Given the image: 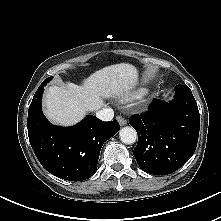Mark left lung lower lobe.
<instances>
[{
    "label": "left lung lower lobe",
    "mask_w": 221,
    "mask_h": 221,
    "mask_svg": "<svg viewBox=\"0 0 221 221\" xmlns=\"http://www.w3.org/2000/svg\"><path fill=\"white\" fill-rule=\"evenodd\" d=\"M137 131L138 143L133 151L145 172L167 175L183 166L197 146L200 115L191 90L176 86L173 103L155 99L148 111L129 119Z\"/></svg>",
    "instance_id": "obj_1"
}]
</instances>
